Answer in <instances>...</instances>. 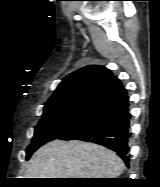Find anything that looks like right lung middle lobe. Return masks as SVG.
<instances>
[{
	"instance_id": "1",
	"label": "right lung middle lobe",
	"mask_w": 160,
	"mask_h": 187,
	"mask_svg": "<svg viewBox=\"0 0 160 187\" xmlns=\"http://www.w3.org/2000/svg\"><path fill=\"white\" fill-rule=\"evenodd\" d=\"M95 106V103L74 102L44 108L42 119L36 126L32 142L26 150V159H29L40 146L57 139L76 126Z\"/></svg>"
}]
</instances>
